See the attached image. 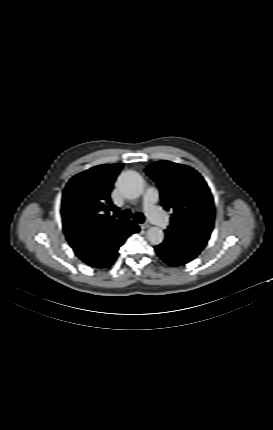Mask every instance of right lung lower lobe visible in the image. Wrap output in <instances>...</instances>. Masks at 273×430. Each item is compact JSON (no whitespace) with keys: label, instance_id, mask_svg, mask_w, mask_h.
<instances>
[{"label":"right lung lower lobe","instance_id":"obj_1","mask_svg":"<svg viewBox=\"0 0 273 430\" xmlns=\"http://www.w3.org/2000/svg\"><path fill=\"white\" fill-rule=\"evenodd\" d=\"M136 232H139V227L134 223L123 234L104 235L96 248L92 250L91 256L84 262L97 268L110 266L118 256L119 247L128 236ZM72 248L75 251L74 246Z\"/></svg>","mask_w":273,"mask_h":430}]
</instances>
